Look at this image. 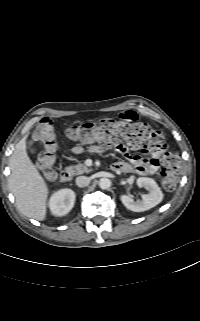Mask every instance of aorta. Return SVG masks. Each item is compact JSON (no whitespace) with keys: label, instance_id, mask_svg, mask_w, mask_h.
<instances>
[{"label":"aorta","instance_id":"762f6f07","mask_svg":"<svg viewBox=\"0 0 200 321\" xmlns=\"http://www.w3.org/2000/svg\"><path fill=\"white\" fill-rule=\"evenodd\" d=\"M111 186V181L108 178H101L99 180V187L103 190L108 189Z\"/></svg>","mask_w":200,"mask_h":321}]
</instances>
